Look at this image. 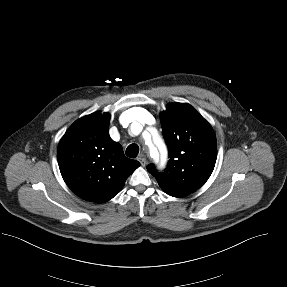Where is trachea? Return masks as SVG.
I'll list each match as a JSON object with an SVG mask.
<instances>
[{"label":"trachea","mask_w":287,"mask_h":287,"mask_svg":"<svg viewBox=\"0 0 287 287\" xmlns=\"http://www.w3.org/2000/svg\"><path fill=\"white\" fill-rule=\"evenodd\" d=\"M139 153V146L137 144H130L126 149V155L130 158L137 157Z\"/></svg>","instance_id":"1"}]
</instances>
